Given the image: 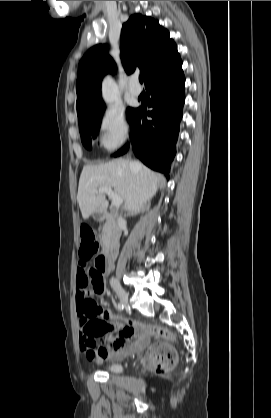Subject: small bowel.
<instances>
[{
    "label": "small bowel",
    "mask_w": 271,
    "mask_h": 418,
    "mask_svg": "<svg viewBox=\"0 0 271 418\" xmlns=\"http://www.w3.org/2000/svg\"><path fill=\"white\" fill-rule=\"evenodd\" d=\"M104 293L102 268L80 261L76 274V313L78 314L80 349L86 359L102 363L109 359H122L142 349L147 343L146 330L135 323L104 312L95 296ZM114 332H119L114 335ZM100 339L98 345L96 340ZM133 340V341H131Z\"/></svg>",
    "instance_id": "c3829d8e"
}]
</instances>
